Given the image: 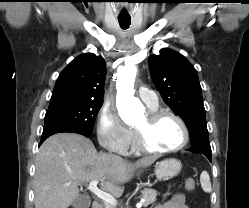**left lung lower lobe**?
Here are the masks:
<instances>
[{
	"label": "left lung lower lobe",
	"instance_id": "left-lung-lower-lobe-1",
	"mask_svg": "<svg viewBox=\"0 0 249 208\" xmlns=\"http://www.w3.org/2000/svg\"><path fill=\"white\" fill-rule=\"evenodd\" d=\"M188 151L204 154L211 162V154H212L211 149H207V148L200 147V146H195V147H191Z\"/></svg>",
	"mask_w": 249,
	"mask_h": 208
}]
</instances>
